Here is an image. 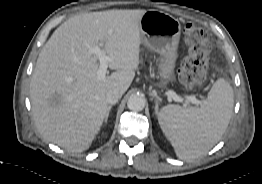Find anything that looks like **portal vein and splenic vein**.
<instances>
[{"mask_svg": "<svg viewBox=\"0 0 262 184\" xmlns=\"http://www.w3.org/2000/svg\"><path fill=\"white\" fill-rule=\"evenodd\" d=\"M92 52L96 55V57L99 60V69L97 71V77L98 79H104L106 77V72L108 68V64L110 61H112V58L107 56L103 50L97 45L92 49ZM168 97L170 99H173L176 102H191L193 104L199 105L202 102L195 98V96H187V97H181L178 96L175 92L169 91Z\"/></svg>", "mask_w": 262, "mask_h": 184, "instance_id": "18ae733b", "label": "portal vein and splenic vein"}]
</instances>
